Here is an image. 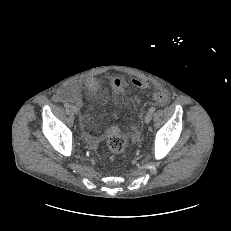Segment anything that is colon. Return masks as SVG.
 <instances>
[{"label": "colon", "instance_id": "1", "mask_svg": "<svg viewBox=\"0 0 231 231\" xmlns=\"http://www.w3.org/2000/svg\"><path fill=\"white\" fill-rule=\"evenodd\" d=\"M134 86L139 88H146V84L140 80H132ZM111 84L116 93H120L123 88V80L119 76H114L111 79ZM154 99L160 103L165 104L167 102V95L164 92L154 93ZM126 138L121 132V129L116 124H111L107 129V146L112 154H121L126 148Z\"/></svg>", "mask_w": 231, "mask_h": 231}]
</instances>
